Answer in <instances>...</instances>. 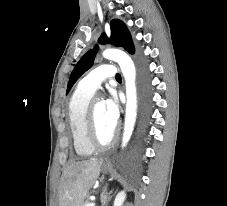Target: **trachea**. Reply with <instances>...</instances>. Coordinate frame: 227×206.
<instances>
[{"label": "trachea", "instance_id": "obj_1", "mask_svg": "<svg viewBox=\"0 0 227 206\" xmlns=\"http://www.w3.org/2000/svg\"><path fill=\"white\" fill-rule=\"evenodd\" d=\"M116 79H117V80H121V75H120V74H117V75H116Z\"/></svg>", "mask_w": 227, "mask_h": 206}]
</instances>
